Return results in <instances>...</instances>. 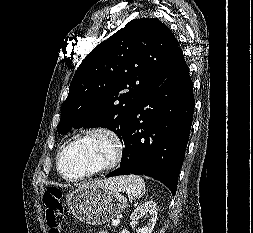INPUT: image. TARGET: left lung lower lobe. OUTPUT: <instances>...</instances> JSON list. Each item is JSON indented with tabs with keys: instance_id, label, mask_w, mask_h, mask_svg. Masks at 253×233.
<instances>
[{
	"instance_id": "left-lung-lower-lobe-1",
	"label": "left lung lower lobe",
	"mask_w": 253,
	"mask_h": 233,
	"mask_svg": "<svg viewBox=\"0 0 253 233\" xmlns=\"http://www.w3.org/2000/svg\"><path fill=\"white\" fill-rule=\"evenodd\" d=\"M194 112L193 83L182 50L177 47L162 79L132 113L121 139L120 166L106 175H146L175 195Z\"/></svg>"
}]
</instances>
